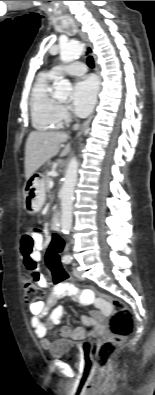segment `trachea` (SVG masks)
Here are the masks:
<instances>
[{
	"label": "trachea",
	"mask_w": 155,
	"mask_h": 395,
	"mask_svg": "<svg viewBox=\"0 0 155 395\" xmlns=\"http://www.w3.org/2000/svg\"><path fill=\"white\" fill-rule=\"evenodd\" d=\"M87 64L89 67L94 68V59L92 56L87 57Z\"/></svg>",
	"instance_id": "3493384b"
}]
</instances>
